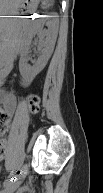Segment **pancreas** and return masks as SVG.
Listing matches in <instances>:
<instances>
[{
	"label": "pancreas",
	"mask_w": 103,
	"mask_h": 193,
	"mask_svg": "<svg viewBox=\"0 0 103 193\" xmlns=\"http://www.w3.org/2000/svg\"><path fill=\"white\" fill-rule=\"evenodd\" d=\"M15 25H17V24H14V26H15ZM19 48H20V44L18 45L17 51L19 50Z\"/></svg>",
	"instance_id": "cf45deb5"
}]
</instances>
